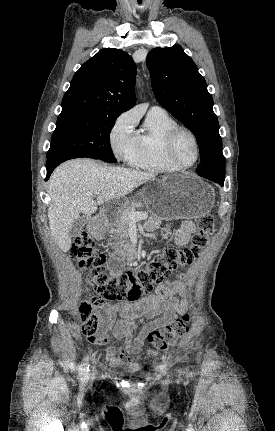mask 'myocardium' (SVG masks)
Wrapping results in <instances>:
<instances>
[{
  "mask_svg": "<svg viewBox=\"0 0 275 431\" xmlns=\"http://www.w3.org/2000/svg\"><path fill=\"white\" fill-rule=\"evenodd\" d=\"M183 133H185L191 137V139L193 140L194 146H195V159L192 163H190L188 165L181 164L176 159L175 154H174V147H175L176 140H177L178 136L180 134H183ZM164 153H165L167 160L173 166L178 168L179 170L189 169V168L193 167L199 161V158H200L199 140H198L196 134L190 128L185 127V126H177L168 133V135L165 139Z\"/></svg>",
  "mask_w": 275,
  "mask_h": 431,
  "instance_id": "f54148a6",
  "label": "myocardium"
}]
</instances>
